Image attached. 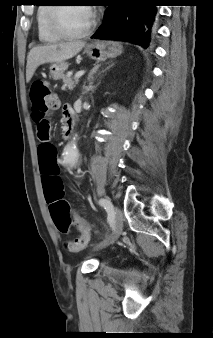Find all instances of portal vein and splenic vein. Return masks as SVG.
<instances>
[{
    "instance_id": "obj_1",
    "label": "portal vein and splenic vein",
    "mask_w": 213,
    "mask_h": 338,
    "mask_svg": "<svg viewBox=\"0 0 213 338\" xmlns=\"http://www.w3.org/2000/svg\"><path fill=\"white\" fill-rule=\"evenodd\" d=\"M85 71L84 70H80L75 74V78H80L82 75H84Z\"/></svg>"
}]
</instances>
